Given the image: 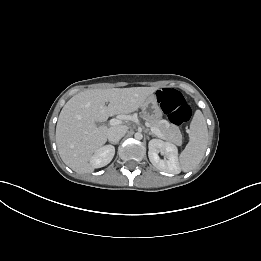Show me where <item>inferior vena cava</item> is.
Listing matches in <instances>:
<instances>
[{
  "label": "inferior vena cava",
  "mask_w": 261,
  "mask_h": 261,
  "mask_svg": "<svg viewBox=\"0 0 261 261\" xmlns=\"http://www.w3.org/2000/svg\"><path fill=\"white\" fill-rule=\"evenodd\" d=\"M126 126L110 127L107 131V138L111 143H118L119 140L126 134Z\"/></svg>",
  "instance_id": "602c4592"
}]
</instances>
